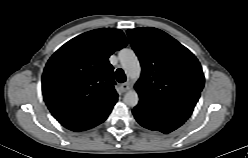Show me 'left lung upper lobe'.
Returning a JSON list of instances; mask_svg holds the SVG:
<instances>
[{
    "instance_id": "left-lung-upper-lobe-1",
    "label": "left lung upper lobe",
    "mask_w": 248,
    "mask_h": 158,
    "mask_svg": "<svg viewBox=\"0 0 248 158\" xmlns=\"http://www.w3.org/2000/svg\"><path fill=\"white\" fill-rule=\"evenodd\" d=\"M127 34L142 66L135 85L140 101L133 113L170 133L190 117L200 97L201 65L191 51L159 29H129Z\"/></svg>"
}]
</instances>
